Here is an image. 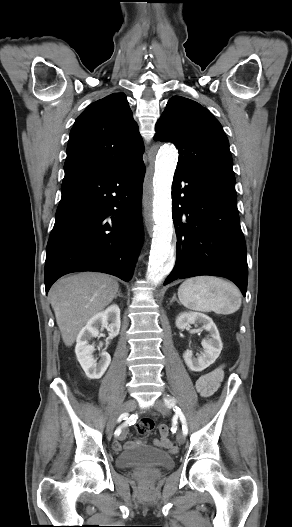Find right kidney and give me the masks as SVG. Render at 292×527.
Segmentation results:
<instances>
[{"label": "right kidney", "mask_w": 292, "mask_h": 527, "mask_svg": "<svg viewBox=\"0 0 292 527\" xmlns=\"http://www.w3.org/2000/svg\"><path fill=\"white\" fill-rule=\"evenodd\" d=\"M120 325V309L114 304L93 316L79 332L75 353L88 378H101L111 362L110 355L105 351L102 352L100 360L97 361L93 356L94 345H90L88 341L99 334L100 328H107L109 339H112L119 334ZM101 346L102 343H100Z\"/></svg>", "instance_id": "1"}]
</instances>
